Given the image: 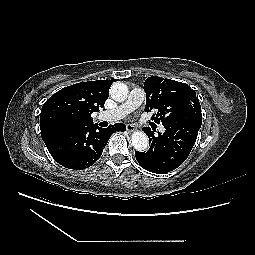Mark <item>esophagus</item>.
Returning a JSON list of instances; mask_svg holds the SVG:
<instances>
[{"mask_svg": "<svg viewBox=\"0 0 255 255\" xmlns=\"http://www.w3.org/2000/svg\"><path fill=\"white\" fill-rule=\"evenodd\" d=\"M126 129L128 132H133L136 129V127L133 124H127Z\"/></svg>", "mask_w": 255, "mask_h": 255, "instance_id": "obj_1", "label": "esophagus"}]
</instances>
